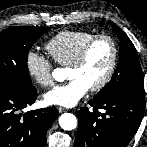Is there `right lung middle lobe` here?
<instances>
[{"mask_svg":"<svg viewBox=\"0 0 147 147\" xmlns=\"http://www.w3.org/2000/svg\"><path fill=\"white\" fill-rule=\"evenodd\" d=\"M50 28L9 27L0 34V89L27 91L32 89L27 67L32 44Z\"/></svg>","mask_w":147,"mask_h":147,"instance_id":"right-lung-middle-lobe-1","label":"right lung middle lobe"}]
</instances>
